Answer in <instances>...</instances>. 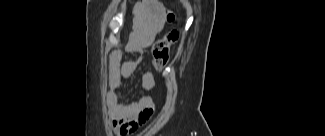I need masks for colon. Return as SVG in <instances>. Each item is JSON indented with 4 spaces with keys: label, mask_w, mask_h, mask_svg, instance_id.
<instances>
[{
    "label": "colon",
    "mask_w": 325,
    "mask_h": 136,
    "mask_svg": "<svg viewBox=\"0 0 325 136\" xmlns=\"http://www.w3.org/2000/svg\"><path fill=\"white\" fill-rule=\"evenodd\" d=\"M169 20H173V15H168ZM179 31L171 30L167 32L161 39L155 42L152 49L153 65L158 71L165 68L168 63L171 46L178 40Z\"/></svg>",
    "instance_id": "1"
}]
</instances>
